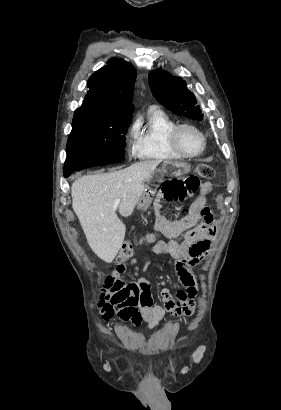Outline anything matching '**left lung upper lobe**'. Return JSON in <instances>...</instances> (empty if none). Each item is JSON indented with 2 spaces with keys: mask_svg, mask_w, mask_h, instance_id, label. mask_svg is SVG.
<instances>
[{
  "mask_svg": "<svg viewBox=\"0 0 281 410\" xmlns=\"http://www.w3.org/2000/svg\"><path fill=\"white\" fill-rule=\"evenodd\" d=\"M148 81L153 96L168 110L179 116L203 119L199 105H196L195 96L181 78L158 70L150 73Z\"/></svg>",
  "mask_w": 281,
  "mask_h": 410,
  "instance_id": "obj_1",
  "label": "left lung upper lobe"
}]
</instances>
